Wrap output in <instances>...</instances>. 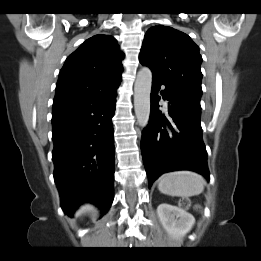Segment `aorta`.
<instances>
[{"label":"aorta","instance_id":"1","mask_svg":"<svg viewBox=\"0 0 261 261\" xmlns=\"http://www.w3.org/2000/svg\"><path fill=\"white\" fill-rule=\"evenodd\" d=\"M152 86V72L143 67L137 73L134 85V109L137 122L142 128L146 127L150 117V93Z\"/></svg>","mask_w":261,"mask_h":261}]
</instances>
